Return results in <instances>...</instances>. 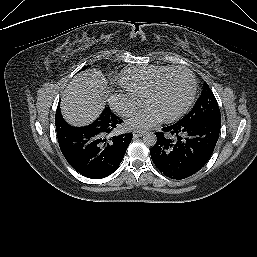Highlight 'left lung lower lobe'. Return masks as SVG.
I'll return each mask as SVG.
<instances>
[{
	"mask_svg": "<svg viewBox=\"0 0 257 257\" xmlns=\"http://www.w3.org/2000/svg\"><path fill=\"white\" fill-rule=\"evenodd\" d=\"M221 120L208 119L196 123L179 120L156 132L151 148L153 163L165 176L184 179L199 171L210 159L216 146Z\"/></svg>",
	"mask_w": 257,
	"mask_h": 257,
	"instance_id": "1",
	"label": "left lung lower lobe"
}]
</instances>
